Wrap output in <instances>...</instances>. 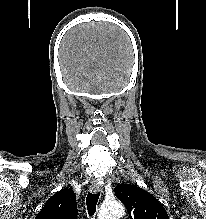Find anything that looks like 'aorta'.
<instances>
[{"instance_id": "aorta-1", "label": "aorta", "mask_w": 206, "mask_h": 219, "mask_svg": "<svg viewBox=\"0 0 206 219\" xmlns=\"http://www.w3.org/2000/svg\"><path fill=\"white\" fill-rule=\"evenodd\" d=\"M124 213L123 205L115 200L105 203L101 206L98 218L99 219H120Z\"/></svg>"}]
</instances>
